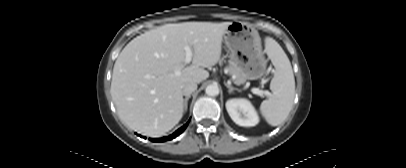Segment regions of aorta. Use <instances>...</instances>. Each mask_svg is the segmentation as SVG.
Returning a JSON list of instances; mask_svg holds the SVG:
<instances>
[{
    "instance_id": "aorta-1",
    "label": "aorta",
    "mask_w": 406,
    "mask_h": 168,
    "mask_svg": "<svg viewBox=\"0 0 406 168\" xmlns=\"http://www.w3.org/2000/svg\"><path fill=\"white\" fill-rule=\"evenodd\" d=\"M205 92L209 96H217L219 94V88L217 85L211 84L206 87Z\"/></svg>"
}]
</instances>
